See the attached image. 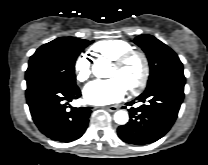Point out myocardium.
Segmentation results:
<instances>
[{"mask_svg":"<svg viewBox=\"0 0 208 165\" xmlns=\"http://www.w3.org/2000/svg\"><path fill=\"white\" fill-rule=\"evenodd\" d=\"M134 57L139 58L142 62V75L140 80L134 86L127 89L130 94H137L141 92L147 85L150 75V64L147 55L139 50H130L112 60L113 66L121 68Z\"/></svg>","mask_w":208,"mask_h":165,"instance_id":"1","label":"myocardium"}]
</instances>
